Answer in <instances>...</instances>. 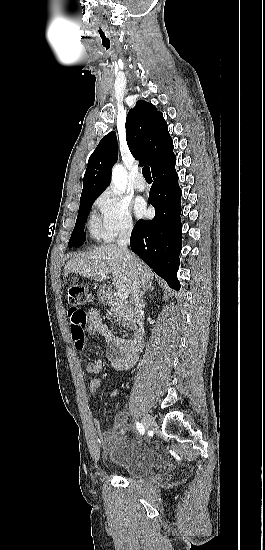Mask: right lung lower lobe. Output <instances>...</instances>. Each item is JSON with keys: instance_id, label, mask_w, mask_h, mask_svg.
I'll return each mask as SVG.
<instances>
[{"instance_id": "1", "label": "right lung lower lobe", "mask_w": 265, "mask_h": 550, "mask_svg": "<svg viewBox=\"0 0 265 550\" xmlns=\"http://www.w3.org/2000/svg\"><path fill=\"white\" fill-rule=\"evenodd\" d=\"M173 153L152 170L154 183L149 193V204L155 207L151 221H139L131 234L130 247L167 284L180 289L177 279L179 254L182 248L181 189L175 171Z\"/></svg>"}]
</instances>
